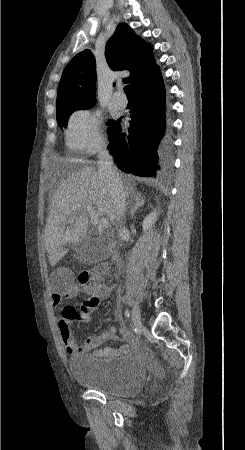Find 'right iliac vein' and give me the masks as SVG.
I'll return each mask as SVG.
<instances>
[{
	"instance_id": "63e3f726",
	"label": "right iliac vein",
	"mask_w": 245,
	"mask_h": 450,
	"mask_svg": "<svg viewBox=\"0 0 245 450\" xmlns=\"http://www.w3.org/2000/svg\"><path fill=\"white\" fill-rule=\"evenodd\" d=\"M132 322L134 327H138L141 324L140 310L137 305H134L132 308Z\"/></svg>"
}]
</instances>
